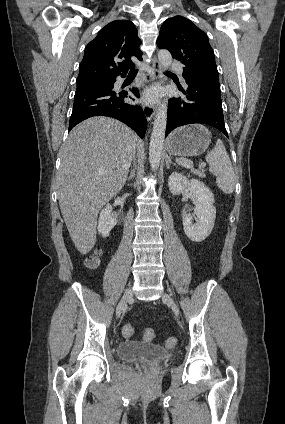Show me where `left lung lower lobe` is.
<instances>
[{"label":"left lung lower lobe","instance_id":"0a47b994","mask_svg":"<svg viewBox=\"0 0 285 424\" xmlns=\"http://www.w3.org/2000/svg\"><path fill=\"white\" fill-rule=\"evenodd\" d=\"M185 80L188 84L187 93L180 85L178 88L186 97H172L169 100L165 137L173 129L193 123L211 125L228 137L218 74L199 72L189 75Z\"/></svg>","mask_w":285,"mask_h":424}]
</instances>
